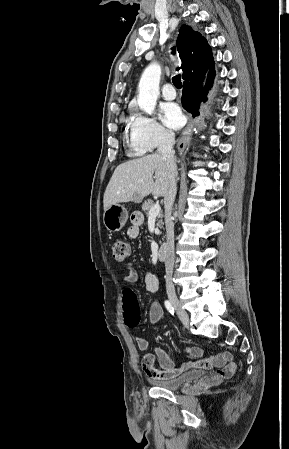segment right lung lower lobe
I'll use <instances>...</instances> for the list:
<instances>
[{"label": "right lung lower lobe", "mask_w": 289, "mask_h": 449, "mask_svg": "<svg viewBox=\"0 0 289 449\" xmlns=\"http://www.w3.org/2000/svg\"><path fill=\"white\" fill-rule=\"evenodd\" d=\"M214 76L215 69L213 64L203 77L184 82L181 98L182 106L188 112L192 113L193 117L199 115L201 102L207 100L208 90L212 86Z\"/></svg>", "instance_id": "1"}]
</instances>
